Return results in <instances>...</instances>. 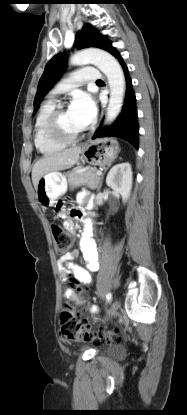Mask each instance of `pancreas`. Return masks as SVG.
<instances>
[{"label": "pancreas", "instance_id": "pancreas-1", "mask_svg": "<svg viewBox=\"0 0 187 415\" xmlns=\"http://www.w3.org/2000/svg\"><path fill=\"white\" fill-rule=\"evenodd\" d=\"M97 169L95 167L87 168L82 171L73 170L72 172L68 173V182L70 188L73 190L74 188L80 186H86L92 190L96 189L100 185L101 177L97 175Z\"/></svg>", "mask_w": 187, "mask_h": 415}]
</instances>
